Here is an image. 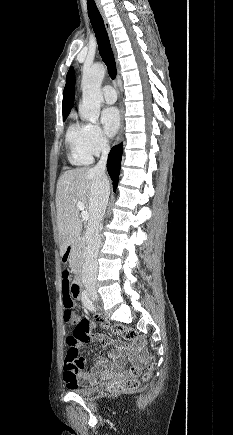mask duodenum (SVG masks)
Masks as SVG:
<instances>
[{"label":"duodenum","mask_w":233,"mask_h":435,"mask_svg":"<svg viewBox=\"0 0 233 435\" xmlns=\"http://www.w3.org/2000/svg\"><path fill=\"white\" fill-rule=\"evenodd\" d=\"M75 245H76L75 242H70L65 246L62 252V262L64 263L68 262L69 256L73 252ZM81 285H82V274L79 273L73 283V295L77 299H81L82 297Z\"/></svg>","instance_id":"obj_1"}]
</instances>
